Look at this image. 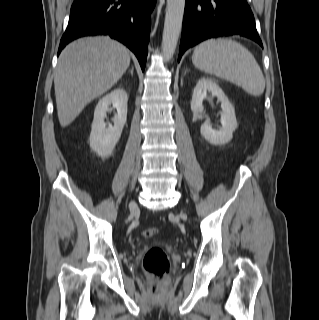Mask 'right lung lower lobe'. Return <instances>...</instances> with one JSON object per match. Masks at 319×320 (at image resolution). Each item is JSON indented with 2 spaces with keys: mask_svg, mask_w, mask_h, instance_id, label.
I'll return each mask as SVG.
<instances>
[{
  "mask_svg": "<svg viewBox=\"0 0 319 320\" xmlns=\"http://www.w3.org/2000/svg\"><path fill=\"white\" fill-rule=\"evenodd\" d=\"M155 3L156 0H74L58 55L76 38L104 34L130 48L144 70L150 35V14Z\"/></svg>",
  "mask_w": 319,
  "mask_h": 320,
  "instance_id": "right-lung-lower-lobe-1",
  "label": "right lung lower lobe"
}]
</instances>
